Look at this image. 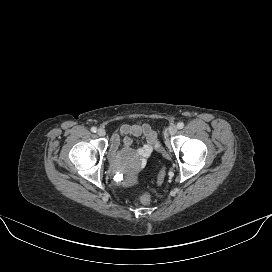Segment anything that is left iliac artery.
<instances>
[{
	"instance_id": "obj_1",
	"label": "left iliac artery",
	"mask_w": 272,
	"mask_h": 272,
	"mask_svg": "<svg viewBox=\"0 0 272 272\" xmlns=\"http://www.w3.org/2000/svg\"><path fill=\"white\" fill-rule=\"evenodd\" d=\"M184 127V123L183 122H179L178 124H177V128L178 129H182Z\"/></svg>"
}]
</instances>
